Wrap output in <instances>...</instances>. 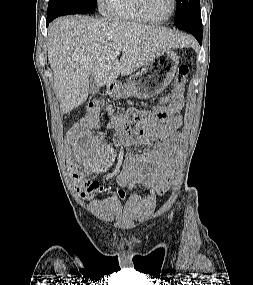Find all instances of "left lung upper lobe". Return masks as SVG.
<instances>
[{"mask_svg":"<svg viewBox=\"0 0 253 285\" xmlns=\"http://www.w3.org/2000/svg\"><path fill=\"white\" fill-rule=\"evenodd\" d=\"M177 12L175 15V26H180L193 18L201 16L200 0H176Z\"/></svg>","mask_w":253,"mask_h":285,"instance_id":"1","label":"left lung upper lobe"}]
</instances>
